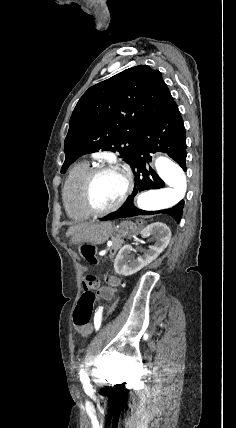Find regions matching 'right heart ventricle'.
Here are the masks:
<instances>
[{
  "label": "right heart ventricle",
  "instance_id": "right-heart-ventricle-1",
  "mask_svg": "<svg viewBox=\"0 0 236 428\" xmlns=\"http://www.w3.org/2000/svg\"><path fill=\"white\" fill-rule=\"evenodd\" d=\"M90 169L87 161L79 162L70 170L63 183L62 194L66 210L76 220H87L94 216L84 207L81 199V185Z\"/></svg>",
  "mask_w": 236,
  "mask_h": 428
}]
</instances>
